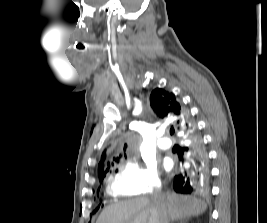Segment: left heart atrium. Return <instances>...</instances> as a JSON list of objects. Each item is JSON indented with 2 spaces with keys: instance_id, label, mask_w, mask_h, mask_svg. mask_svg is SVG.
Instances as JSON below:
<instances>
[{
  "instance_id": "1",
  "label": "left heart atrium",
  "mask_w": 267,
  "mask_h": 223,
  "mask_svg": "<svg viewBox=\"0 0 267 223\" xmlns=\"http://www.w3.org/2000/svg\"><path fill=\"white\" fill-rule=\"evenodd\" d=\"M165 167H166V169H168L169 168V165H166Z\"/></svg>"
}]
</instances>
